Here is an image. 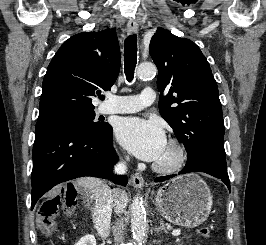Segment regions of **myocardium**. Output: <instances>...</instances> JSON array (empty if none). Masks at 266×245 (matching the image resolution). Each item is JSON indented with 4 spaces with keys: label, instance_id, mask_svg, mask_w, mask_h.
<instances>
[{
    "label": "myocardium",
    "instance_id": "1",
    "mask_svg": "<svg viewBox=\"0 0 266 245\" xmlns=\"http://www.w3.org/2000/svg\"><path fill=\"white\" fill-rule=\"evenodd\" d=\"M167 144L176 148L177 157L175 161L170 165H162L155 162L152 168L157 173L171 175L181 170L185 163L187 152L185 146L177 139H170Z\"/></svg>",
    "mask_w": 266,
    "mask_h": 245
}]
</instances>
